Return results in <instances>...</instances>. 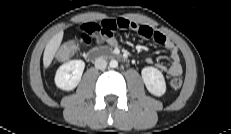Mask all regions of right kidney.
Masks as SVG:
<instances>
[{"label":"right kidney","mask_w":231,"mask_h":134,"mask_svg":"<svg viewBox=\"0 0 231 134\" xmlns=\"http://www.w3.org/2000/svg\"><path fill=\"white\" fill-rule=\"evenodd\" d=\"M85 63L82 60H71L61 65L55 75V84L58 88L70 91L80 82Z\"/></svg>","instance_id":"right-kidney-1"}]
</instances>
